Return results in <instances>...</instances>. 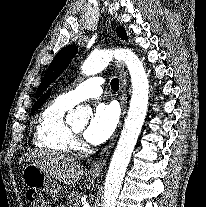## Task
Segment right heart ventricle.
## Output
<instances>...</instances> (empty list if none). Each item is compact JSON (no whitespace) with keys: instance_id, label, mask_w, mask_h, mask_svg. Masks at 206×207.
<instances>
[{"instance_id":"e07e8e85","label":"right heart ventricle","mask_w":206,"mask_h":207,"mask_svg":"<svg viewBox=\"0 0 206 207\" xmlns=\"http://www.w3.org/2000/svg\"><path fill=\"white\" fill-rule=\"evenodd\" d=\"M73 106L60 95L42 109L35 121V147L58 153H70L76 149L75 137L65 121V115Z\"/></svg>"}]
</instances>
